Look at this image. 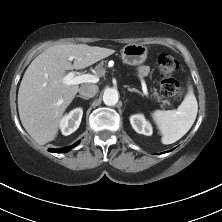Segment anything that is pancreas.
Instances as JSON below:
<instances>
[{
  "label": "pancreas",
  "mask_w": 222,
  "mask_h": 222,
  "mask_svg": "<svg viewBox=\"0 0 222 222\" xmlns=\"http://www.w3.org/2000/svg\"><path fill=\"white\" fill-rule=\"evenodd\" d=\"M95 72L96 75L99 77H102L106 73V69L104 68V62H100L96 67H95ZM153 96L157 98L158 102H161V107H164L165 105H170V102L168 100H162L163 96H160L159 93L157 92L156 88H153Z\"/></svg>",
  "instance_id": "pancreas-1"
}]
</instances>
